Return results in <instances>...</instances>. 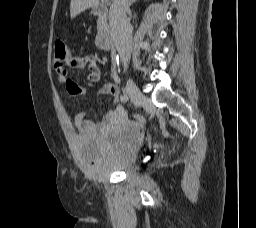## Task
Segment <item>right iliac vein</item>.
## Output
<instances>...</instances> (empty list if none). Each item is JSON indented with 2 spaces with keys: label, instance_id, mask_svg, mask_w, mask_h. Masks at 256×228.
<instances>
[{
  "label": "right iliac vein",
  "instance_id": "1",
  "mask_svg": "<svg viewBox=\"0 0 256 228\" xmlns=\"http://www.w3.org/2000/svg\"><path fill=\"white\" fill-rule=\"evenodd\" d=\"M126 91L129 94L132 102L138 107L141 105L144 96L132 79L127 80Z\"/></svg>",
  "mask_w": 256,
  "mask_h": 228
}]
</instances>
